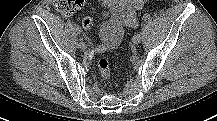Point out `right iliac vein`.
<instances>
[{
  "mask_svg": "<svg viewBox=\"0 0 217 121\" xmlns=\"http://www.w3.org/2000/svg\"><path fill=\"white\" fill-rule=\"evenodd\" d=\"M78 46H79V48H81V49H83V50H85V49L87 48V46H86V44H85L84 42H80V43L78 44Z\"/></svg>",
  "mask_w": 217,
  "mask_h": 121,
  "instance_id": "1",
  "label": "right iliac vein"
}]
</instances>
